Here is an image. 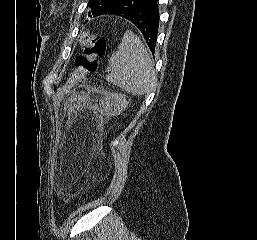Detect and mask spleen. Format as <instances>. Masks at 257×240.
<instances>
[{
    "mask_svg": "<svg viewBox=\"0 0 257 240\" xmlns=\"http://www.w3.org/2000/svg\"><path fill=\"white\" fill-rule=\"evenodd\" d=\"M106 80L134 95L150 93L156 83L154 63L140 38L126 31L109 61Z\"/></svg>",
    "mask_w": 257,
    "mask_h": 240,
    "instance_id": "obj_1",
    "label": "spleen"
}]
</instances>
